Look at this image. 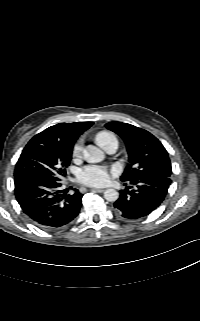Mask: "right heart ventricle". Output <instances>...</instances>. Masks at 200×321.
Listing matches in <instances>:
<instances>
[{
	"mask_svg": "<svg viewBox=\"0 0 200 321\" xmlns=\"http://www.w3.org/2000/svg\"><path fill=\"white\" fill-rule=\"evenodd\" d=\"M97 141L104 146L116 144V139L114 138V136L107 132L99 133L97 135Z\"/></svg>",
	"mask_w": 200,
	"mask_h": 321,
	"instance_id": "1",
	"label": "right heart ventricle"
}]
</instances>
